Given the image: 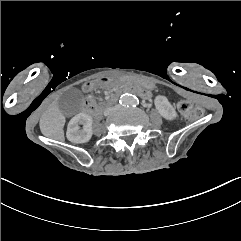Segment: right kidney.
Wrapping results in <instances>:
<instances>
[{"label":"right kidney","mask_w":241,"mask_h":241,"mask_svg":"<svg viewBox=\"0 0 241 241\" xmlns=\"http://www.w3.org/2000/svg\"><path fill=\"white\" fill-rule=\"evenodd\" d=\"M93 118L86 113L75 115L68 123L66 137L76 144L87 143L93 136ZM84 124V129L79 130V125Z\"/></svg>","instance_id":"ca27d5eb"}]
</instances>
